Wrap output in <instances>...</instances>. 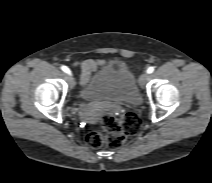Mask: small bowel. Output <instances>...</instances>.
<instances>
[{
    "label": "small bowel",
    "instance_id": "c3829d8e",
    "mask_svg": "<svg viewBox=\"0 0 212 183\" xmlns=\"http://www.w3.org/2000/svg\"><path fill=\"white\" fill-rule=\"evenodd\" d=\"M104 64L103 60L88 59L81 62H77L76 65L80 68V82L85 85L93 72L102 67Z\"/></svg>",
    "mask_w": 212,
    "mask_h": 183
}]
</instances>
